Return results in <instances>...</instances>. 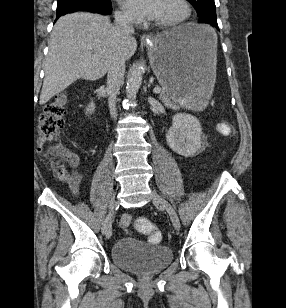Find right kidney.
<instances>
[{"label":"right kidney","mask_w":286,"mask_h":308,"mask_svg":"<svg viewBox=\"0 0 286 308\" xmlns=\"http://www.w3.org/2000/svg\"><path fill=\"white\" fill-rule=\"evenodd\" d=\"M94 110H95V104L93 102H91L86 109V115L92 114L94 112Z\"/></svg>","instance_id":"right-kidney-1"}]
</instances>
